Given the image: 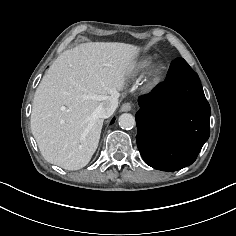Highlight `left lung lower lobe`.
I'll use <instances>...</instances> for the list:
<instances>
[{"instance_id": "obj_1", "label": "left lung lower lobe", "mask_w": 236, "mask_h": 236, "mask_svg": "<svg viewBox=\"0 0 236 236\" xmlns=\"http://www.w3.org/2000/svg\"><path fill=\"white\" fill-rule=\"evenodd\" d=\"M137 146L145 162L176 171L192 164L210 135V105L196 72L175 59L164 82L138 99Z\"/></svg>"}]
</instances>
